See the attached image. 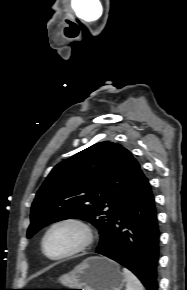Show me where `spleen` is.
I'll list each match as a JSON object with an SVG mask.
<instances>
[{"label": "spleen", "instance_id": "spleen-1", "mask_svg": "<svg viewBox=\"0 0 187 290\" xmlns=\"http://www.w3.org/2000/svg\"><path fill=\"white\" fill-rule=\"evenodd\" d=\"M123 274L126 278V290H143V286L138 278L127 268H123Z\"/></svg>", "mask_w": 187, "mask_h": 290}]
</instances>
